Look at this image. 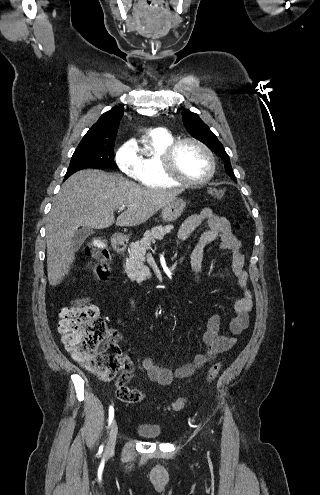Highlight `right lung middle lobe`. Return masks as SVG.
<instances>
[{
	"instance_id": "right-lung-middle-lobe-1",
	"label": "right lung middle lobe",
	"mask_w": 320,
	"mask_h": 495,
	"mask_svg": "<svg viewBox=\"0 0 320 495\" xmlns=\"http://www.w3.org/2000/svg\"><path fill=\"white\" fill-rule=\"evenodd\" d=\"M113 150V143L108 145H78L72 156L69 168L65 175V179H67L73 173L86 168H117V165L114 162Z\"/></svg>"
}]
</instances>
